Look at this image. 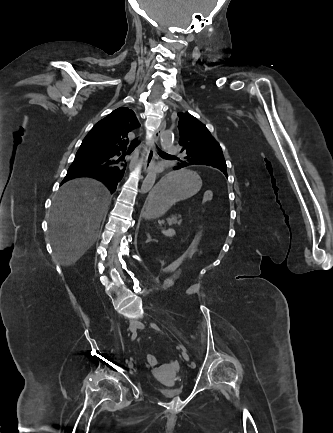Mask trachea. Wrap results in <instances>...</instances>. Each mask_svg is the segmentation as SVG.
<instances>
[{"label": "trachea", "mask_w": 333, "mask_h": 433, "mask_svg": "<svg viewBox=\"0 0 333 433\" xmlns=\"http://www.w3.org/2000/svg\"><path fill=\"white\" fill-rule=\"evenodd\" d=\"M139 141L138 140H134V141H132V143H131V145H130V148L131 149H134V148H136L138 145H139ZM163 155H166V156H170L169 154H167V153H165V152H161Z\"/></svg>", "instance_id": "obj_1"}]
</instances>
